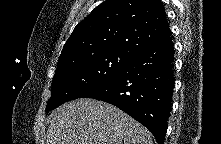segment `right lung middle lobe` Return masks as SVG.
<instances>
[{"label": "right lung middle lobe", "instance_id": "right-lung-middle-lobe-1", "mask_svg": "<svg viewBox=\"0 0 221 144\" xmlns=\"http://www.w3.org/2000/svg\"><path fill=\"white\" fill-rule=\"evenodd\" d=\"M135 55L106 51L59 66L54 74L46 113L85 93L119 73Z\"/></svg>", "mask_w": 221, "mask_h": 144}]
</instances>
